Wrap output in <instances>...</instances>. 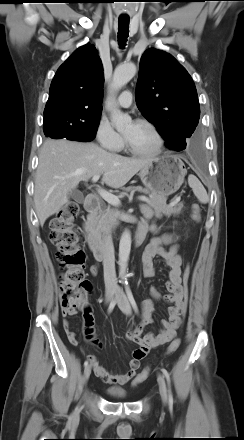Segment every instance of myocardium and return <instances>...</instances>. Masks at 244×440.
<instances>
[{
  "label": "myocardium",
  "instance_id": "1",
  "mask_svg": "<svg viewBox=\"0 0 244 440\" xmlns=\"http://www.w3.org/2000/svg\"><path fill=\"white\" fill-rule=\"evenodd\" d=\"M136 123L143 125L151 130V132L153 133V135L156 139V146L151 151H140V150L136 149L135 147H133L130 144V142L127 140V138L124 137L126 149L130 153L137 155V156H153V155L159 154L162 151L164 144H165L164 137H163L161 131L159 130V128L153 122L146 120V119H138V120H136Z\"/></svg>",
  "mask_w": 244,
  "mask_h": 440
}]
</instances>
